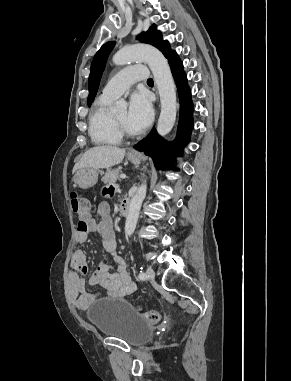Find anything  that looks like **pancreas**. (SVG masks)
Segmentation results:
<instances>
[{
	"label": "pancreas",
	"mask_w": 291,
	"mask_h": 381,
	"mask_svg": "<svg viewBox=\"0 0 291 381\" xmlns=\"http://www.w3.org/2000/svg\"><path fill=\"white\" fill-rule=\"evenodd\" d=\"M121 173H122V171H121L120 168H116V169L108 170V171L104 174V176L102 177V181H103L104 184H106V185L115 184L116 181L119 179Z\"/></svg>",
	"instance_id": "pancreas-1"
}]
</instances>
